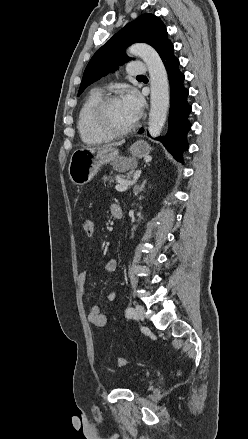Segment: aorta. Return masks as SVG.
Listing matches in <instances>:
<instances>
[{
  "label": "aorta",
  "mask_w": 248,
  "mask_h": 439,
  "mask_svg": "<svg viewBox=\"0 0 248 439\" xmlns=\"http://www.w3.org/2000/svg\"><path fill=\"white\" fill-rule=\"evenodd\" d=\"M129 53L141 57L150 75V113L148 129L152 137L160 135L169 109V83L165 66L158 53L149 45L137 43Z\"/></svg>",
  "instance_id": "1"
}]
</instances>
